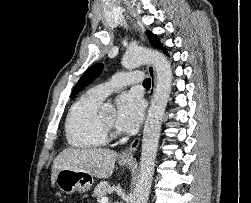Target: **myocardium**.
<instances>
[{
  "mask_svg": "<svg viewBox=\"0 0 251 203\" xmlns=\"http://www.w3.org/2000/svg\"><path fill=\"white\" fill-rule=\"evenodd\" d=\"M100 124L103 130L105 131L107 137L116 138L119 136V132L116 130L115 126L107 123L101 117H100Z\"/></svg>",
  "mask_w": 251,
  "mask_h": 203,
  "instance_id": "1",
  "label": "myocardium"
}]
</instances>
